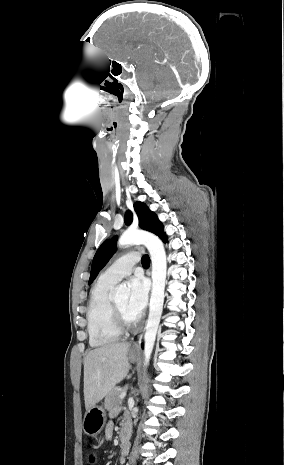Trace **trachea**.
Here are the masks:
<instances>
[{
	"instance_id": "obj_1",
	"label": "trachea",
	"mask_w": 284,
	"mask_h": 465,
	"mask_svg": "<svg viewBox=\"0 0 284 465\" xmlns=\"http://www.w3.org/2000/svg\"><path fill=\"white\" fill-rule=\"evenodd\" d=\"M141 263L144 267H148L150 265V258L148 255H143L141 259Z\"/></svg>"
}]
</instances>
